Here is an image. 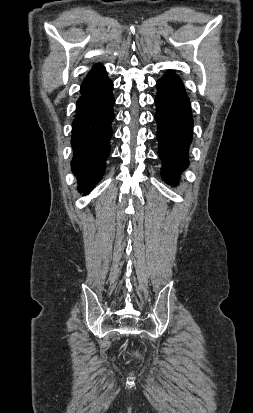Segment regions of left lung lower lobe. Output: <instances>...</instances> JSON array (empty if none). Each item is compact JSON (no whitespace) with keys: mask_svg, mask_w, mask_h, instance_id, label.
<instances>
[{"mask_svg":"<svg viewBox=\"0 0 253 413\" xmlns=\"http://www.w3.org/2000/svg\"><path fill=\"white\" fill-rule=\"evenodd\" d=\"M155 98L158 156L163 162L162 178L178 184V178L189 164L188 150L192 141L193 118L189 98L179 76L167 72L157 81Z\"/></svg>","mask_w":253,"mask_h":413,"instance_id":"obj_1","label":"left lung lower lobe"}]
</instances>
